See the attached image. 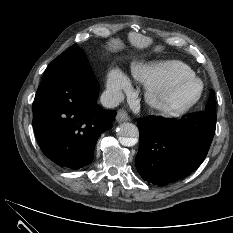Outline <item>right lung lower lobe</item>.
Wrapping results in <instances>:
<instances>
[{"mask_svg": "<svg viewBox=\"0 0 233 233\" xmlns=\"http://www.w3.org/2000/svg\"><path fill=\"white\" fill-rule=\"evenodd\" d=\"M99 85L88 62H57L45 70L33 102V128L43 153L61 167L90 163L113 110L97 105Z\"/></svg>", "mask_w": 233, "mask_h": 233, "instance_id": "obj_1", "label": "right lung lower lobe"}]
</instances>
